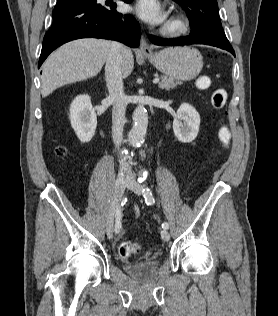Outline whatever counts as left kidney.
I'll return each mask as SVG.
<instances>
[{
	"instance_id": "left-kidney-1",
	"label": "left kidney",
	"mask_w": 278,
	"mask_h": 316,
	"mask_svg": "<svg viewBox=\"0 0 278 316\" xmlns=\"http://www.w3.org/2000/svg\"><path fill=\"white\" fill-rule=\"evenodd\" d=\"M200 116L196 109L188 103L179 107L173 121V131L182 143L192 142L199 132Z\"/></svg>"
}]
</instances>
